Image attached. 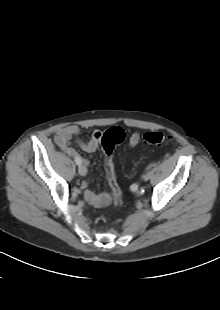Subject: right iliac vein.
Segmentation results:
<instances>
[{
    "mask_svg": "<svg viewBox=\"0 0 220 310\" xmlns=\"http://www.w3.org/2000/svg\"><path fill=\"white\" fill-rule=\"evenodd\" d=\"M78 172L81 176H85L87 173V169L84 165H80L78 168Z\"/></svg>",
    "mask_w": 220,
    "mask_h": 310,
    "instance_id": "1",
    "label": "right iliac vein"
}]
</instances>
